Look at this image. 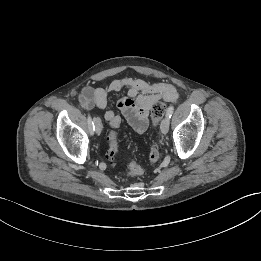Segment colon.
<instances>
[{"mask_svg":"<svg viewBox=\"0 0 261 261\" xmlns=\"http://www.w3.org/2000/svg\"><path fill=\"white\" fill-rule=\"evenodd\" d=\"M167 105L163 102H157L153 105L151 110V120L153 127H156L160 121V119L163 117L165 111H166ZM121 123V119L116 117L110 121L111 130L109 131L107 135V140L109 143V149H108V159L111 163L114 162L116 156L119 153V146H118V137L116 128L119 127ZM160 158V149L158 145L154 144L150 147L149 151V161L154 164L156 163ZM144 172L142 166H140L136 162H131L130 168H129V175L132 177L140 176Z\"/></svg>","mask_w":261,"mask_h":261,"instance_id":"colon-1","label":"colon"}]
</instances>
